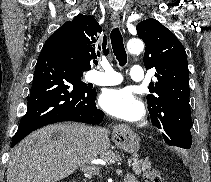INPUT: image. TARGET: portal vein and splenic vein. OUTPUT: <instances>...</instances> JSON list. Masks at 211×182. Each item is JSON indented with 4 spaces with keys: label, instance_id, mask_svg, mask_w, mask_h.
I'll return each mask as SVG.
<instances>
[{
    "label": "portal vein and splenic vein",
    "instance_id": "portal-vein-and-splenic-vein-1",
    "mask_svg": "<svg viewBox=\"0 0 211 182\" xmlns=\"http://www.w3.org/2000/svg\"><path fill=\"white\" fill-rule=\"evenodd\" d=\"M83 170L84 171H87L88 169H83ZM116 171H117L118 174H121L122 173V170H120V169H117Z\"/></svg>",
    "mask_w": 211,
    "mask_h": 182
}]
</instances>
